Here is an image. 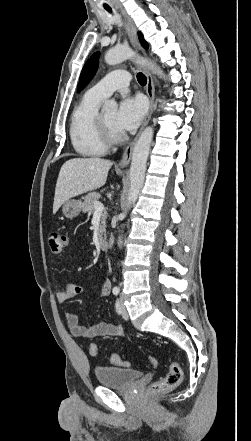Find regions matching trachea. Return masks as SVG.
<instances>
[{
  "mask_svg": "<svg viewBox=\"0 0 251 441\" xmlns=\"http://www.w3.org/2000/svg\"><path fill=\"white\" fill-rule=\"evenodd\" d=\"M106 10L108 12H111L110 8H106ZM137 80H138L139 84L142 85V86L146 85V83H147L146 76L143 73H141V72L137 73Z\"/></svg>",
  "mask_w": 251,
  "mask_h": 441,
  "instance_id": "obj_1",
  "label": "trachea"
}]
</instances>
